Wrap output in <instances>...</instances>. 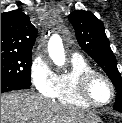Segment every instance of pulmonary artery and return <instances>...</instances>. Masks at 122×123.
<instances>
[{
	"label": "pulmonary artery",
	"mask_w": 122,
	"mask_h": 123,
	"mask_svg": "<svg viewBox=\"0 0 122 123\" xmlns=\"http://www.w3.org/2000/svg\"><path fill=\"white\" fill-rule=\"evenodd\" d=\"M79 54L75 53L73 56H78Z\"/></svg>",
	"instance_id": "pulmonary-artery-1"
}]
</instances>
